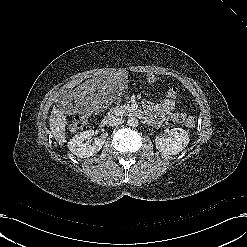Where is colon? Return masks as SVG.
Wrapping results in <instances>:
<instances>
[{
    "mask_svg": "<svg viewBox=\"0 0 247 247\" xmlns=\"http://www.w3.org/2000/svg\"><path fill=\"white\" fill-rule=\"evenodd\" d=\"M166 96L168 98H175L177 96V89L175 87H170L166 91ZM88 121L87 115H80L75 117V119L71 122L70 128L72 130H78L82 128ZM185 123L187 126H194L195 124V118L192 115H189L185 117Z\"/></svg>",
    "mask_w": 247,
    "mask_h": 247,
    "instance_id": "colon-1",
    "label": "colon"
}]
</instances>
